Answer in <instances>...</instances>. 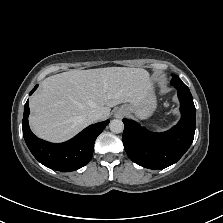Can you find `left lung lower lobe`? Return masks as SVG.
<instances>
[{"mask_svg":"<svg viewBox=\"0 0 223 223\" xmlns=\"http://www.w3.org/2000/svg\"><path fill=\"white\" fill-rule=\"evenodd\" d=\"M173 86L178 91L182 117L169 131L152 133L134 121L123 119L125 151L133 162L148 169H163L174 164L194 139L196 109L192 95L185 84Z\"/></svg>","mask_w":223,"mask_h":223,"instance_id":"0a47b994","label":"left lung lower lobe"}]
</instances>
